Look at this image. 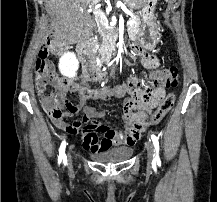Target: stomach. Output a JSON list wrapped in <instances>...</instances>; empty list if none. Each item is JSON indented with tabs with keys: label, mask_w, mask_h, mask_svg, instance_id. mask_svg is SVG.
<instances>
[{
	"label": "stomach",
	"mask_w": 217,
	"mask_h": 202,
	"mask_svg": "<svg viewBox=\"0 0 217 202\" xmlns=\"http://www.w3.org/2000/svg\"><path fill=\"white\" fill-rule=\"evenodd\" d=\"M158 0H146L141 8L142 24L136 34V42L144 50H155L158 40V30L156 26V6Z\"/></svg>",
	"instance_id": "stomach-1"
}]
</instances>
